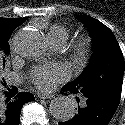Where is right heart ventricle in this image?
<instances>
[{"instance_id":"e07e8e85","label":"right heart ventricle","mask_w":125,"mask_h":125,"mask_svg":"<svg viewBox=\"0 0 125 125\" xmlns=\"http://www.w3.org/2000/svg\"><path fill=\"white\" fill-rule=\"evenodd\" d=\"M69 36V29L63 25L54 24L50 26L47 37L50 41L60 40L65 42Z\"/></svg>"}]
</instances>
